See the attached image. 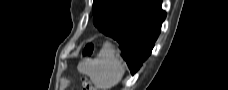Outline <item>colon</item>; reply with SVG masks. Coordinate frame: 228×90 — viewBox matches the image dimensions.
<instances>
[{"label":"colon","mask_w":228,"mask_h":90,"mask_svg":"<svg viewBox=\"0 0 228 90\" xmlns=\"http://www.w3.org/2000/svg\"><path fill=\"white\" fill-rule=\"evenodd\" d=\"M95 49L96 47L93 43L88 44L84 50V56L91 57L94 54ZM84 90H95V87L89 81H86L84 84Z\"/></svg>","instance_id":"1"}]
</instances>
